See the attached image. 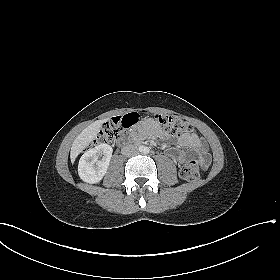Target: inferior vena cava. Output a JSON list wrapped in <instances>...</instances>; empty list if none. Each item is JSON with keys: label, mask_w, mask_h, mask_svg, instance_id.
<instances>
[{"label": "inferior vena cava", "mask_w": 280, "mask_h": 280, "mask_svg": "<svg viewBox=\"0 0 280 280\" xmlns=\"http://www.w3.org/2000/svg\"><path fill=\"white\" fill-rule=\"evenodd\" d=\"M121 153L126 157H130L138 154V148L134 145H127L122 148Z\"/></svg>", "instance_id": "inferior-vena-cava-1"}]
</instances>
